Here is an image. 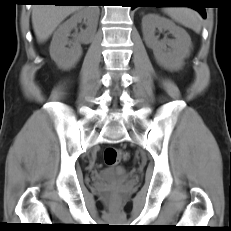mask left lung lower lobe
Instances as JSON below:
<instances>
[{
  "label": "left lung lower lobe",
  "mask_w": 231,
  "mask_h": 231,
  "mask_svg": "<svg viewBox=\"0 0 231 231\" xmlns=\"http://www.w3.org/2000/svg\"><path fill=\"white\" fill-rule=\"evenodd\" d=\"M163 0H134L135 2V6L132 7V9H134L135 7L137 6H143V7H154L162 2ZM192 6H189L190 8H193L195 10H197L202 16L203 18H206V12H205V9L204 7H198V4L197 3H191Z\"/></svg>",
  "instance_id": "0a47b994"
}]
</instances>
